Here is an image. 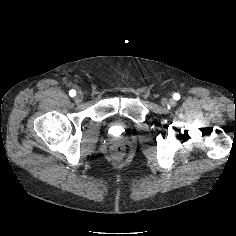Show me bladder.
I'll list each match as a JSON object with an SVG mask.
<instances>
[{
	"instance_id": "bladder-1",
	"label": "bladder",
	"mask_w": 236,
	"mask_h": 236,
	"mask_svg": "<svg viewBox=\"0 0 236 236\" xmlns=\"http://www.w3.org/2000/svg\"><path fill=\"white\" fill-rule=\"evenodd\" d=\"M112 130L117 133H122L125 130V127L122 125H115L113 126Z\"/></svg>"
}]
</instances>
